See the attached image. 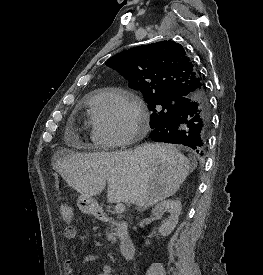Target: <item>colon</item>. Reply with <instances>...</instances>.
I'll list each match as a JSON object with an SVG mask.
<instances>
[{
    "label": "colon",
    "instance_id": "1",
    "mask_svg": "<svg viewBox=\"0 0 263 275\" xmlns=\"http://www.w3.org/2000/svg\"><path fill=\"white\" fill-rule=\"evenodd\" d=\"M60 218L65 222H71L73 220V209L70 205L64 204L59 208Z\"/></svg>",
    "mask_w": 263,
    "mask_h": 275
}]
</instances>
